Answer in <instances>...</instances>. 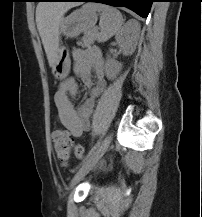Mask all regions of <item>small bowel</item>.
Returning <instances> with one entry per match:
<instances>
[{
	"instance_id": "small-bowel-1",
	"label": "small bowel",
	"mask_w": 202,
	"mask_h": 217,
	"mask_svg": "<svg viewBox=\"0 0 202 217\" xmlns=\"http://www.w3.org/2000/svg\"><path fill=\"white\" fill-rule=\"evenodd\" d=\"M74 72L90 88L89 96L76 108L73 96L77 93V82L71 77L63 81L54 94V102L60 123L73 137H81L90 127L95 103L106 89L104 60L99 50H75L73 52ZM95 73V81L91 73Z\"/></svg>"
}]
</instances>
